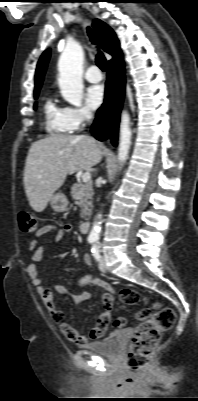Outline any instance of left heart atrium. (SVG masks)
<instances>
[{
	"label": "left heart atrium",
	"instance_id": "obj_1",
	"mask_svg": "<svg viewBox=\"0 0 198 401\" xmlns=\"http://www.w3.org/2000/svg\"><path fill=\"white\" fill-rule=\"evenodd\" d=\"M105 100V89L103 85H93L86 92V102L92 109H97Z\"/></svg>",
	"mask_w": 198,
	"mask_h": 401
}]
</instances>
